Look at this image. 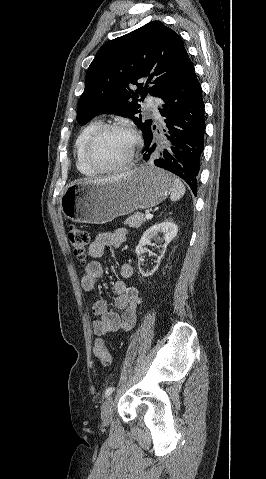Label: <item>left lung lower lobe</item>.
Returning <instances> with one entry per match:
<instances>
[{
    "label": "left lung lower lobe",
    "mask_w": 266,
    "mask_h": 479,
    "mask_svg": "<svg viewBox=\"0 0 266 479\" xmlns=\"http://www.w3.org/2000/svg\"><path fill=\"white\" fill-rule=\"evenodd\" d=\"M162 99L159 112L165 117V138L156 141L153 126L144 136L143 159L184 179L196 196L205 120L201 86L192 63Z\"/></svg>",
    "instance_id": "0a47b994"
}]
</instances>
